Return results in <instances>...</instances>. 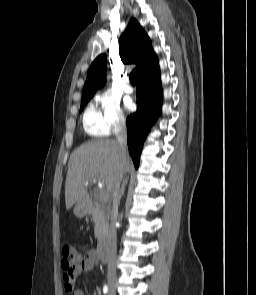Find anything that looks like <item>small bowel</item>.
I'll use <instances>...</instances> for the list:
<instances>
[{
    "label": "small bowel",
    "mask_w": 256,
    "mask_h": 295,
    "mask_svg": "<svg viewBox=\"0 0 256 295\" xmlns=\"http://www.w3.org/2000/svg\"><path fill=\"white\" fill-rule=\"evenodd\" d=\"M98 262L99 258L96 250L90 249L72 271L63 273L64 289L68 295H84L83 291L75 285L76 278L83 272H91Z\"/></svg>",
    "instance_id": "c3829d8e"
}]
</instances>
